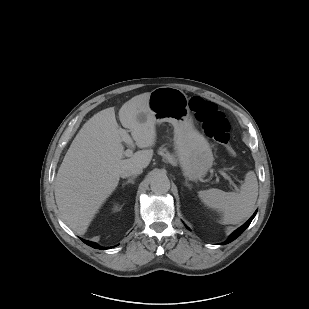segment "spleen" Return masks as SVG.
Here are the masks:
<instances>
[{
	"label": "spleen",
	"instance_id": "3e777b00",
	"mask_svg": "<svg viewBox=\"0 0 309 309\" xmlns=\"http://www.w3.org/2000/svg\"><path fill=\"white\" fill-rule=\"evenodd\" d=\"M201 201L209 208L223 213V223L238 224L254 210L258 197V182L254 172L246 174L239 192L208 189L198 192Z\"/></svg>",
	"mask_w": 309,
	"mask_h": 309
}]
</instances>
